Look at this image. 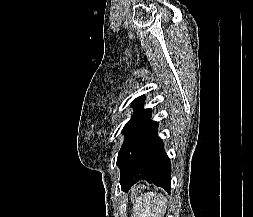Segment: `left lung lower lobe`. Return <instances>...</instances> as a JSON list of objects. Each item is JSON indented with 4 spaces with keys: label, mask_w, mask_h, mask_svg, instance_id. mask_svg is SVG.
Segmentation results:
<instances>
[{
    "label": "left lung lower lobe",
    "mask_w": 253,
    "mask_h": 217,
    "mask_svg": "<svg viewBox=\"0 0 253 217\" xmlns=\"http://www.w3.org/2000/svg\"><path fill=\"white\" fill-rule=\"evenodd\" d=\"M149 110L128 131L119 151L117 165L121 170L120 184L128 191L139 180H146L171 189V164L157 136L158 123L151 121Z\"/></svg>",
    "instance_id": "0a47b994"
}]
</instances>
